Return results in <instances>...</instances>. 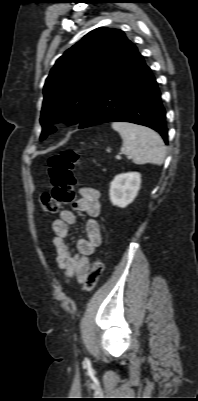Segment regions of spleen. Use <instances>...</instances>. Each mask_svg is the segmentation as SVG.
<instances>
[{
    "label": "spleen",
    "mask_w": 198,
    "mask_h": 401,
    "mask_svg": "<svg viewBox=\"0 0 198 401\" xmlns=\"http://www.w3.org/2000/svg\"><path fill=\"white\" fill-rule=\"evenodd\" d=\"M112 128L122 137L121 153L130 156L135 164L161 165L164 162L166 147L152 129L126 122H114Z\"/></svg>",
    "instance_id": "1"
}]
</instances>
